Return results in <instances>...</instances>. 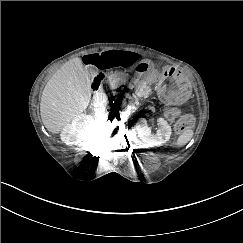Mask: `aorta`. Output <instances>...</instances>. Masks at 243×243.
I'll return each instance as SVG.
<instances>
[{
    "label": "aorta",
    "instance_id": "obj_1",
    "mask_svg": "<svg viewBox=\"0 0 243 243\" xmlns=\"http://www.w3.org/2000/svg\"><path fill=\"white\" fill-rule=\"evenodd\" d=\"M113 102L116 107L123 108L127 104V99L125 96L119 94L114 97Z\"/></svg>",
    "mask_w": 243,
    "mask_h": 243
}]
</instances>
